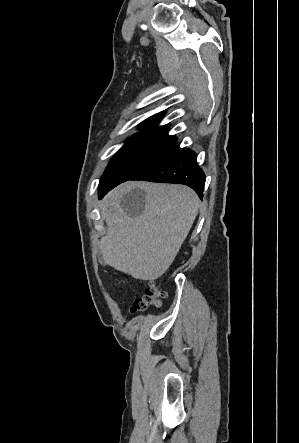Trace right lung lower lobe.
Masks as SVG:
<instances>
[{
  "label": "right lung lower lobe",
  "mask_w": 299,
  "mask_h": 443,
  "mask_svg": "<svg viewBox=\"0 0 299 443\" xmlns=\"http://www.w3.org/2000/svg\"><path fill=\"white\" fill-rule=\"evenodd\" d=\"M131 180L184 184L191 187L202 198L205 174L197 164L194 151L174 146L158 161ZM115 186L117 185H110L99 190V199Z\"/></svg>",
  "instance_id": "1"
}]
</instances>
